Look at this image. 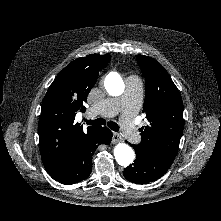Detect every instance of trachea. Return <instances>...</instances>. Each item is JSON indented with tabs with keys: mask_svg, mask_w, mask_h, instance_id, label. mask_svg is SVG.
Masks as SVG:
<instances>
[{
	"mask_svg": "<svg viewBox=\"0 0 221 221\" xmlns=\"http://www.w3.org/2000/svg\"><path fill=\"white\" fill-rule=\"evenodd\" d=\"M84 121L86 122L87 125H94V126H100V125H105L106 124V120L103 119V118H97L95 120L84 119ZM107 125L113 131H116V132L119 131V126H118L117 123H115L113 121H110V122H107Z\"/></svg>",
	"mask_w": 221,
	"mask_h": 221,
	"instance_id": "trachea-1",
	"label": "trachea"
}]
</instances>
